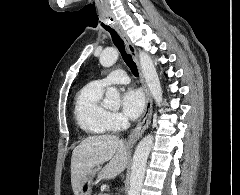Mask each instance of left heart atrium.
Masks as SVG:
<instances>
[{
  "instance_id": "obj_1",
  "label": "left heart atrium",
  "mask_w": 240,
  "mask_h": 195,
  "mask_svg": "<svg viewBox=\"0 0 240 195\" xmlns=\"http://www.w3.org/2000/svg\"><path fill=\"white\" fill-rule=\"evenodd\" d=\"M145 108V98L141 90L129 89L123 97V110L128 117L138 118Z\"/></svg>"
}]
</instances>
